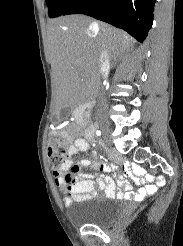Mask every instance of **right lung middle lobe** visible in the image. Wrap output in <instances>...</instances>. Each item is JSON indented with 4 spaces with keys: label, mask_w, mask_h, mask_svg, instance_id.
<instances>
[{
    "label": "right lung middle lobe",
    "mask_w": 183,
    "mask_h": 246,
    "mask_svg": "<svg viewBox=\"0 0 183 246\" xmlns=\"http://www.w3.org/2000/svg\"><path fill=\"white\" fill-rule=\"evenodd\" d=\"M48 9L49 17L54 18L62 15L73 3L75 0H45Z\"/></svg>",
    "instance_id": "right-lung-middle-lobe-1"
}]
</instances>
